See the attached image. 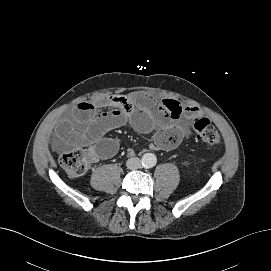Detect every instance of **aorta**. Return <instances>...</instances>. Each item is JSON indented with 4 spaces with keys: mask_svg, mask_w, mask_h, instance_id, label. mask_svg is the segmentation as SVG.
Instances as JSON below:
<instances>
[{
    "mask_svg": "<svg viewBox=\"0 0 271 271\" xmlns=\"http://www.w3.org/2000/svg\"><path fill=\"white\" fill-rule=\"evenodd\" d=\"M157 159L156 156L152 153H145L142 156V165L146 168H152L156 165Z\"/></svg>",
    "mask_w": 271,
    "mask_h": 271,
    "instance_id": "aorta-1",
    "label": "aorta"
}]
</instances>
